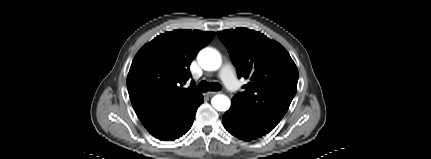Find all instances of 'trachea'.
Masks as SVG:
<instances>
[{"mask_svg": "<svg viewBox=\"0 0 431 159\" xmlns=\"http://www.w3.org/2000/svg\"><path fill=\"white\" fill-rule=\"evenodd\" d=\"M221 89V85L218 83H208L206 81H202L197 86L198 93H204L207 91H219Z\"/></svg>", "mask_w": 431, "mask_h": 159, "instance_id": "obj_1", "label": "trachea"}]
</instances>
